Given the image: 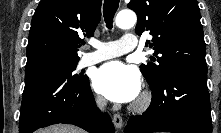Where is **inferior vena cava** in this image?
I'll list each match as a JSON object with an SVG mask.
<instances>
[{
  "mask_svg": "<svg viewBox=\"0 0 221 133\" xmlns=\"http://www.w3.org/2000/svg\"><path fill=\"white\" fill-rule=\"evenodd\" d=\"M96 103L100 109H104L106 106V100L103 98H97Z\"/></svg>",
  "mask_w": 221,
  "mask_h": 133,
  "instance_id": "602c4592",
  "label": "inferior vena cava"
}]
</instances>
